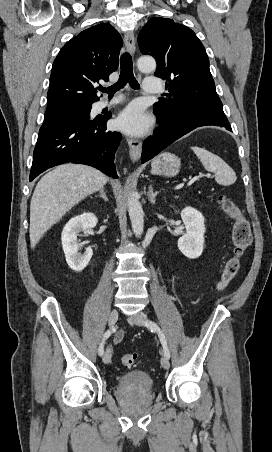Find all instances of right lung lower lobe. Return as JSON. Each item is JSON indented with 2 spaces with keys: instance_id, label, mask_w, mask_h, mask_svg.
Wrapping results in <instances>:
<instances>
[{
  "instance_id": "obj_1",
  "label": "right lung lower lobe",
  "mask_w": 272,
  "mask_h": 452,
  "mask_svg": "<svg viewBox=\"0 0 272 452\" xmlns=\"http://www.w3.org/2000/svg\"><path fill=\"white\" fill-rule=\"evenodd\" d=\"M109 118L90 119L83 115L44 117L29 180L48 168L69 162L90 165L118 178L114 157L122 136L107 130Z\"/></svg>"
}]
</instances>
